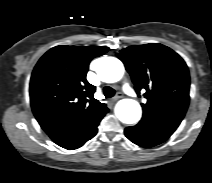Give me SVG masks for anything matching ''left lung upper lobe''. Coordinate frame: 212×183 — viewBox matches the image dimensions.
Wrapping results in <instances>:
<instances>
[{
    "mask_svg": "<svg viewBox=\"0 0 212 183\" xmlns=\"http://www.w3.org/2000/svg\"><path fill=\"white\" fill-rule=\"evenodd\" d=\"M136 92L144 89L143 118L178 127L189 104L190 78L186 63L172 49L150 43L122 49Z\"/></svg>",
    "mask_w": 212,
    "mask_h": 183,
    "instance_id": "5c2ea615",
    "label": "left lung upper lobe"
}]
</instances>
